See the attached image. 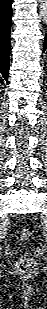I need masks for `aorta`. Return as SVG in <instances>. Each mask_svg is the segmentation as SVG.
<instances>
[{
	"instance_id": "762f6f07",
	"label": "aorta",
	"mask_w": 47,
	"mask_h": 309,
	"mask_svg": "<svg viewBox=\"0 0 47 309\" xmlns=\"http://www.w3.org/2000/svg\"><path fill=\"white\" fill-rule=\"evenodd\" d=\"M41 12L44 16H46L47 12V0H42Z\"/></svg>"
}]
</instances>
